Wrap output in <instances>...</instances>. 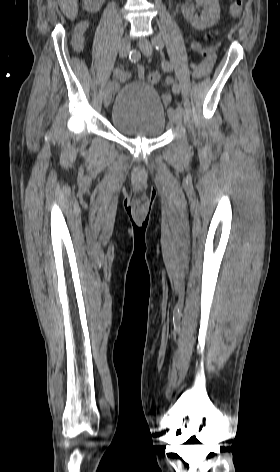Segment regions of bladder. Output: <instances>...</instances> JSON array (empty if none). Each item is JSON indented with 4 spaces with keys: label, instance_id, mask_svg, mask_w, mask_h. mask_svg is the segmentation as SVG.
I'll use <instances>...</instances> for the list:
<instances>
[{
    "label": "bladder",
    "instance_id": "1",
    "mask_svg": "<svg viewBox=\"0 0 280 472\" xmlns=\"http://www.w3.org/2000/svg\"><path fill=\"white\" fill-rule=\"evenodd\" d=\"M166 111L156 89L143 81L121 87L114 99L110 123L126 136L155 138L166 127Z\"/></svg>",
    "mask_w": 280,
    "mask_h": 472
}]
</instances>
